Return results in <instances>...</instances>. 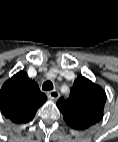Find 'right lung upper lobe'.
<instances>
[{"label":"right lung upper lobe","mask_w":118,"mask_h":142,"mask_svg":"<svg viewBox=\"0 0 118 142\" xmlns=\"http://www.w3.org/2000/svg\"><path fill=\"white\" fill-rule=\"evenodd\" d=\"M46 100L47 96L24 71L12 76L0 90L1 112L16 124L31 121Z\"/></svg>","instance_id":"obj_1"}]
</instances>
